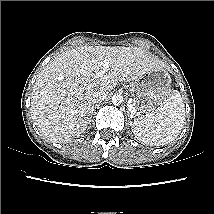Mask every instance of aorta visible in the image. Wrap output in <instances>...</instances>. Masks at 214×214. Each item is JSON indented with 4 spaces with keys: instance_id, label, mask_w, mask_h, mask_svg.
Masks as SVG:
<instances>
[{
    "instance_id": "aorta-1",
    "label": "aorta",
    "mask_w": 214,
    "mask_h": 214,
    "mask_svg": "<svg viewBox=\"0 0 214 214\" xmlns=\"http://www.w3.org/2000/svg\"><path fill=\"white\" fill-rule=\"evenodd\" d=\"M122 102H123V96L121 94L117 93L112 96V103L114 105H120Z\"/></svg>"
}]
</instances>
